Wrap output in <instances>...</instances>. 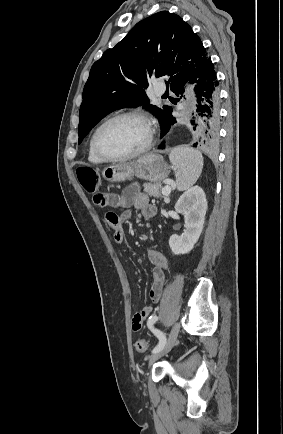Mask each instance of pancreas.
Returning <instances> with one entry per match:
<instances>
[{
	"label": "pancreas",
	"mask_w": 283,
	"mask_h": 434,
	"mask_svg": "<svg viewBox=\"0 0 283 434\" xmlns=\"http://www.w3.org/2000/svg\"><path fill=\"white\" fill-rule=\"evenodd\" d=\"M144 191L149 196H153L155 198H162L161 191L163 189L161 183H144L143 184Z\"/></svg>",
	"instance_id": "1"
}]
</instances>
